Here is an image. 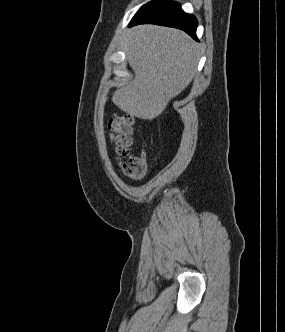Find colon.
Returning <instances> with one entry per match:
<instances>
[{
  "mask_svg": "<svg viewBox=\"0 0 285 332\" xmlns=\"http://www.w3.org/2000/svg\"><path fill=\"white\" fill-rule=\"evenodd\" d=\"M134 117L129 114L114 115L108 123L110 139L117 158L121 161L124 174L133 179H141L146 172V161L142 156H130Z\"/></svg>",
  "mask_w": 285,
  "mask_h": 332,
  "instance_id": "1",
  "label": "colon"
}]
</instances>
